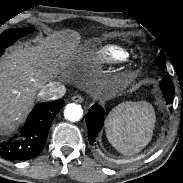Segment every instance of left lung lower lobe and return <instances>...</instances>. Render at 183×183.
Here are the masks:
<instances>
[{
  "instance_id": "obj_1",
  "label": "left lung lower lobe",
  "mask_w": 183,
  "mask_h": 183,
  "mask_svg": "<svg viewBox=\"0 0 183 183\" xmlns=\"http://www.w3.org/2000/svg\"><path fill=\"white\" fill-rule=\"evenodd\" d=\"M160 89L162 90L163 97L167 104L172 103L174 98V85L169 79H162L160 83ZM104 123V109L99 105H93L89 109V113L86 115V124L88 127V139L91 145L96 141V136L102 129Z\"/></svg>"
}]
</instances>
